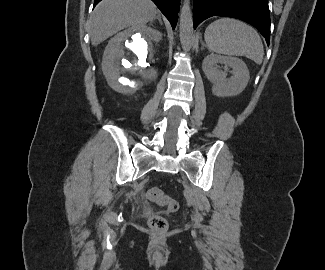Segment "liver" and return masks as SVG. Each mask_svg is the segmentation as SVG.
Segmentation results:
<instances>
[{
	"instance_id": "obj_1",
	"label": "liver",
	"mask_w": 325,
	"mask_h": 270,
	"mask_svg": "<svg viewBox=\"0 0 325 270\" xmlns=\"http://www.w3.org/2000/svg\"><path fill=\"white\" fill-rule=\"evenodd\" d=\"M156 14L151 0H102L89 21L91 43L97 46L127 27H142Z\"/></svg>"
}]
</instances>
